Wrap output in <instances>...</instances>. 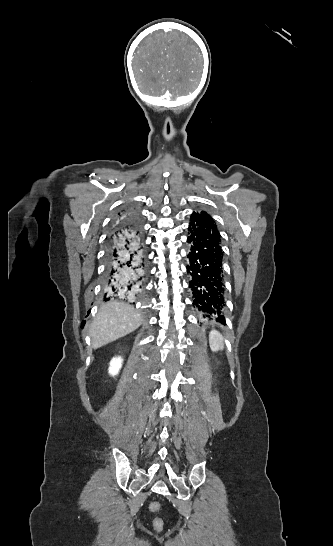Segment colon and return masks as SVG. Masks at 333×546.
Instances as JSON below:
<instances>
[{
    "label": "colon",
    "instance_id": "obj_1",
    "mask_svg": "<svg viewBox=\"0 0 333 546\" xmlns=\"http://www.w3.org/2000/svg\"><path fill=\"white\" fill-rule=\"evenodd\" d=\"M150 510L154 513H157L161 510V505L160 503L158 502H152L150 504ZM153 527L157 530V531H161L164 527V522L163 520L160 518V517H156L154 518L153 520Z\"/></svg>",
    "mask_w": 333,
    "mask_h": 546
}]
</instances>
